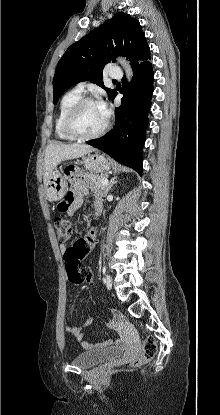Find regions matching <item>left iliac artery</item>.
Here are the masks:
<instances>
[{"mask_svg": "<svg viewBox=\"0 0 220 415\" xmlns=\"http://www.w3.org/2000/svg\"><path fill=\"white\" fill-rule=\"evenodd\" d=\"M102 272H103V274H105V272H106V267L105 266L103 267Z\"/></svg>", "mask_w": 220, "mask_h": 415, "instance_id": "obj_1", "label": "left iliac artery"}]
</instances>
